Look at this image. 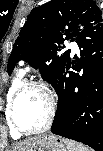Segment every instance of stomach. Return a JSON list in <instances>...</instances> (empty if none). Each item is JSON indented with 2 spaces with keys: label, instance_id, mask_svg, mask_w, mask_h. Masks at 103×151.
<instances>
[{
  "label": "stomach",
  "instance_id": "obj_1",
  "mask_svg": "<svg viewBox=\"0 0 103 151\" xmlns=\"http://www.w3.org/2000/svg\"><path fill=\"white\" fill-rule=\"evenodd\" d=\"M26 151H66L63 139L55 135L36 137Z\"/></svg>",
  "mask_w": 103,
  "mask_h": 151
}]
</instances>
